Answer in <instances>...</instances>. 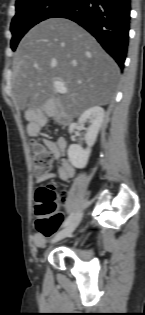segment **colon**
Masks as SVG:
<instances>
[{"mask_svg": "<svg viewBox=\"0 0 145 315\" xmlns=\"http://www.w3.org/2000/svg\"><path fill=\"white\" fill-rule=\"evenodd\" d=\"M33 166L36 175L46 173L52 165V154L44 144L32 141ZM36 199V229L45 237H51L60 228L64 216L57 210L56 193L53 186L37 189Z\"/></svg>", "mask_w": 145, "mask_h": 315, "instance_id": "colon-1", "label": "colon"}]
</instances>
